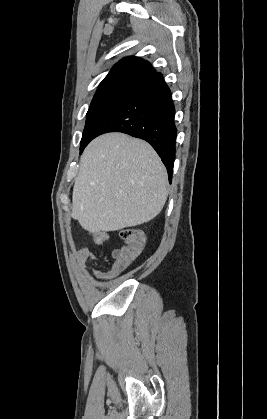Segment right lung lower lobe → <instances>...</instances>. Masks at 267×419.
Segmentation results:
<instances>
[{"label":"right lung lower lobe","instance_id":"obj_1","mask_svg":"<svg viewBox=\"0 0 267 419\" xmlns=\"http://www.w3.org/2000/svg\"><path fill=\"white\" fill-rule=\"evenodd\" d=\"M171 91L161 73L133 90L99 124L92 139L108 132H122L152 145L172 180L177 129Z\"/></svg>","mask_w":267,"mask_h":419}]
</instances>
